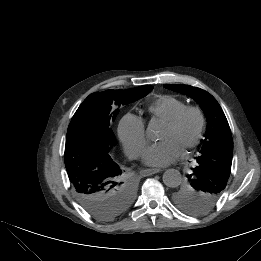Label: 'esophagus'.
Segmentation results:
<instances>
[{
  "instance_id": "34e87169",
  "label": "esophagus",
  "mask_w": 261,
  "mask_h": 261,
  "mask_svg": "<svg viewBox=\"0 0 261 261\" xmlns=\"http://www.w3.org/2000/svg\"><path fill=\"white\" fill-rule=\"evenodd\" d=\"M158 172H160L159 169H143L140 171V174L142 176H150V175L156 174Z\"/></svg>"
}]
</instances>
